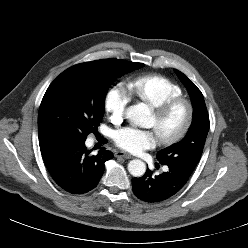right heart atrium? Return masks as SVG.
Masks as SVG:
<instances>
[{
  "label": "right heart atrium",
  "instance_id": "obj_1",
  "mask_svg": "<svg viewBox=\"0 0 248 248\" xmlns=\"http://www.w3.org/2000/svg\"><path fill=\"white\" fill-rule=\"evenodd\" d=\"M130 101L131 96L123 86L117 84L108 89L104 106L112 122L120 123L123 120Z\"/></svg>",
  "mask_w": 248,
  "mask_h": 248
}]
</instances>
